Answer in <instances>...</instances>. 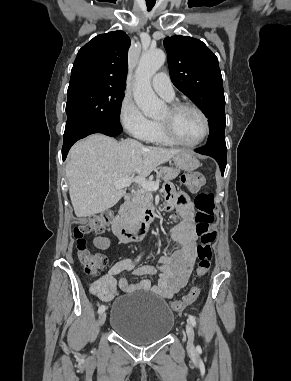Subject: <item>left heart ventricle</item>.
I'll list each match as a JSON object with an SVG mask.
<instances>
[{
	"label": "left heart ventricle",
	"mask_w": 291,
	"mask_h": 381,
	"mask_svg": "<svg viewBox=\"0 0 291 381\" xmlns=\"http://www.w3.org/2000/svg\"><path fill=\"white\" fill-rule=\"evenodd\" d=\"M170 121L176 136L184 142H195L203 133L204 124L200 115L192 109H184L171 117L166 109L158 118Z\"/></svg>",
	"instance_id": "obj_1"
}]
</instances>
